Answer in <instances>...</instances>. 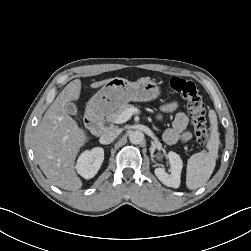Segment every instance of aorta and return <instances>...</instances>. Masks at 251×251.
Segmentation results:
<instances>
[{"label":"aorta","instance_id":"762f6f07","mask_svg":"<svg viewBox=\"0 0 251 251\" xmlns=\"http://www.w3.org/2000/svg\"><path fill=\"white\" fill-rule=\"evenodd\" d=\"M129 140L132 144H141L144 140V134L141 131H132L129 134Z\"/></svg>","mask_w":251,"mask_h":251}]
</instances>
